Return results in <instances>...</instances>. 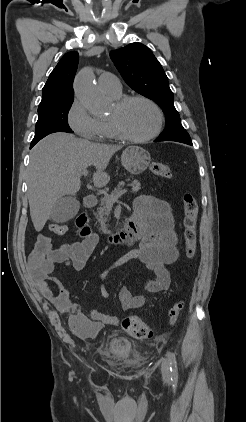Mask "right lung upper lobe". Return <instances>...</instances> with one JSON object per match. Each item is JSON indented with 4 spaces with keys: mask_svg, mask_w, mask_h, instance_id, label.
I'll return each mask as SVG.
<instances>
[{
    "mask_svg": "<svg viewBox=\"0 0 246 422\" xmlns=\"http://www.w3.org/2000/svg\"><path fill=\"white\" fill-rule=\"evenodd\" d=\"M78 60L79 55L75 51L69 52L61 58L43 87L42 100L39 107L61 100L74 99L73 80Z\"/></svg>",
    "mask_w": 246,
    "mask_h": 422,
    "instance_id": "1",
    "label": "right lung upper lobe"
}]
</instances>
